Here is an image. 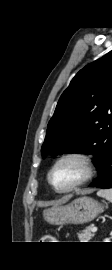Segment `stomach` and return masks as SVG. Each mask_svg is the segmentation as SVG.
<instances>
[{"label": "stomach", "instance_id": "0dacf381", "mask_svg": "<svg viewBox=\"0 0 112 270\" xmlns=\"http://www.w3.org/2000/svg\"><path fill=\"white\" fill-rule=\"evenodd\" d=\"M104 207L90 197H80L68 205H55L43 211L44 219L53 225L85 224L94 220Z\"/></svg>", "mask_w": 112, "mask_h": 270}]
</instances>
